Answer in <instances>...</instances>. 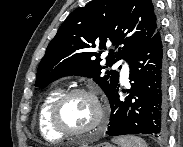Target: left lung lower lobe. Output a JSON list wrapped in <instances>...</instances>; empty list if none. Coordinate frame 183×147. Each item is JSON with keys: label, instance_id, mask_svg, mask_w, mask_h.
I'll return each instance as SVG.
<instances>
[{"label": "left lung lower lobe", "instance_id": "1", "mask_svg": "<svg viewBox=\"0 0 183 147\" xmlns=\"http://www.w3.org/2000/svg\"><path fill=\"white\" fill-rule=\"evenodd\" d=\"M126 61L130 68L131 88L123 101L119 99V84L108 97L111 105L108 134L162 136L166 131L167 69L159 29Z\"/></svg>", "mask_w": 183, "mask_h": 147}]
</instances>
